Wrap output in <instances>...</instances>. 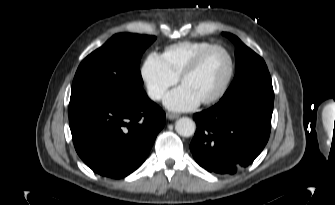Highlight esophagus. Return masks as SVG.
<instances>
[{
	"instance_id": "esophagus-1",
	"label": "esophagus",
	"mask_w": 335,
	"mask_h": 205,
	"mask_svg": "<svg viewBox=\"0 0 335 205\" xmlns=\"http://www.w3.org/2000/svg\"><path fill=\"white\" fill-rule=\"evenodd\" d=\"M166 116L169 120H174V119H177L179 117V115L174 114V113H167Z\"/></svg>"
}]
</instances>
